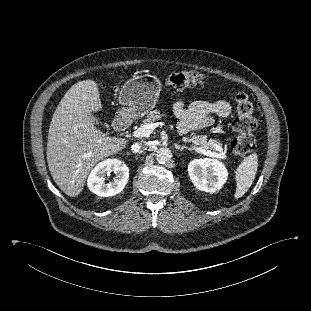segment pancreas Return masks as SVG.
Masks as SVG:
<instances>
[{"instance_id":"cf45deb5","label":"pancreas","mask_w":311,"mask_h":311,"mask_svg":"<svg viewBox=\"0 0 311 311\" xmlns=\"http://www.w3.org/2000/svg\"><path fill=\"white\" fill-rule=\"evenodd\" d=\"M161 116L162 115L158 110L150 111L146 118L143 120V123H153L154 121L160 120ZM187 140L205 150H215L216 147H222V144L219 141L208 139L207 135H196V133H192Z\"/></svg>"}]
</instances>
